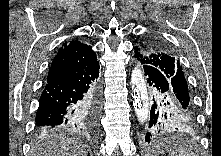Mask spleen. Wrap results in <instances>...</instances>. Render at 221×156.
Returning <instances> with one entry per match:
<instances>
[{
    "instance_id": "obj_1",
    "label": "spleen",
    "mask_w": 221,
    "mask_h": 156,
    "mask_svg": "<svg viewBox=\"0 0 221 156\" xmlns=\"http://www.w3.org/2000/svg\"><path fill=\"white\" fill-rule=\"evenodd\" d=\"M171 155H178V156H195V154L191 151L185 150V149H181L176 153H173Z\"/></svg>"
}]
</instances>
